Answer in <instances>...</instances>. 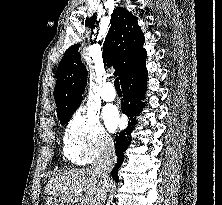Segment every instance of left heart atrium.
I'll list each match as a JSON object with an SVG mask.
<instances>
[{
  "instance_id": "39dd6f15",
  "label": "left heart atrium",
  "mask_w": 222,
  "mask_h": 205,
  "mask_svg": "<svg viewBox=\"0 0 222 205\" xmlns=\"http://www.w3.org/2000/svg\"><path fill=\"white\" fill-rule=\"evenodd\" d=\"M104 120L110 130H114L120 122L118 111L114 107H108L104 111Z\"/></svg>"
}]
</instances>
